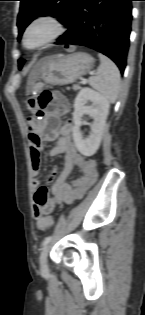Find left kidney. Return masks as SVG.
<instances>
[{
    "label": "left kidney",
    "mask_w": 145,
    "mask_h": 315,
    "mask_svg": "<svg viewBox=\"0 0 145 315\" xmlns=\"http://www.w3.org/2000/svg\"><path fill=\"white\" fill-rule=\"evenodd\" d=\"M91 106H87L88 102ZM109 102L98 92L86 87L75 98L73 112V140L77 150L84 156H92L98 150L109 113ZM89 114L94 122L91 126V135L83 139L80 127L82 117Z\"/></svg>",
    "instance_id": "left-kidney-1"
}]
</instances>
